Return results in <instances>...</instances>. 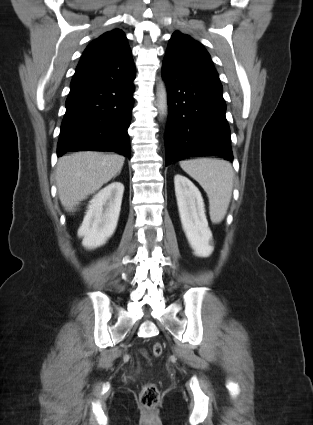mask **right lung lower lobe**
<instances>
[{
    "instance_id": "obj_1",
    "label": "right lung lower lobe",
    "mask_w": 313,
    "mask_h": 425,
    "mask_svg": "<svg viewBox=\"0 0 313 425\" xmlns=\"http://www.w3.org/2000/svg\"><path fill=\"white\" fill-rule=\"evenodd\" d=\"M134 79V63L77 66L66 100L58 157L71 151H112L130 157L127 129Z\"/></svg>"
}]
</instances>
